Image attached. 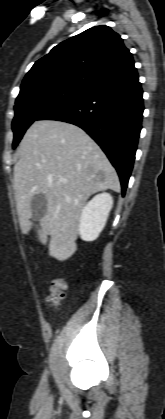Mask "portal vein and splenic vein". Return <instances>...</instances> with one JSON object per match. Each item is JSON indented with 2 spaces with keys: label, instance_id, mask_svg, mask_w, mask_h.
<instances>
[{
  "label": "portal vein and splenic vein",
  "instance_id": "obj_1",
  "mask_svg": "<svg viewBox=\"0 0 165 419\" xmlns=\"http://www.w3.org/2000/svg\"><path fill=\"white\" fill-rule=\"evenodd\" d=\"M61 181H62V182H64L65 180H64V179H62Z\"/></svg>",
  "mask_w": 165,
  "mask_h": 419
}]
</instances>
